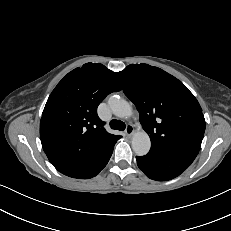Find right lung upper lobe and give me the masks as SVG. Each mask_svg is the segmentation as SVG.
I'll return each mask as SVG.
<instances>
[{
  "mask_svg": "<svg viewBox=\"0 0 231 231\" xmlns=\"http://www.w3.org/2000/svg\"><path fill=\"white\" fill-rule=\"evenodd\" d=\"M121 87L116 73L99 63L69 72L49 96L40 121V139L52 165L69 174L97 159L121 136L108 133L97 107Z\"/></svg>",
  "mask_w": 231,
  "mask_h": 231,
  "instance_id": "obj_1",
  "label": "right lung upper lobe"
}]
</instances>
